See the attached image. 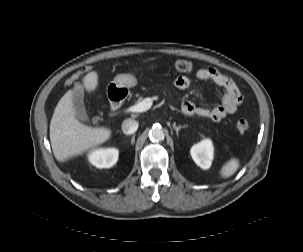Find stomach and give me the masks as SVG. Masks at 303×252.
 <instances>
[{"instance_id": "obj_1", "label": "stomach", "mask_w": 303, "mask_h": 252, "mask_svg": "<svg viewBox=\"0 0 303 252\" xmlns=\"http://www.w3.org/2000/svg\"><path fill=\"white\" fill-rule=\"evenodd\" d=\"M153 68L154 66L148 67V69ZM111 84L115 85V87L118 89H129L131 87L136 86L137 79L131 74H119L114 78Z\"/></svg>"}]
</instances>
